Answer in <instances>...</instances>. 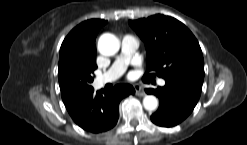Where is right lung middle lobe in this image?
I'll use <instances>...</instances> for the list:
<instances>
[{"label":"right lung middle lobe","instance_id":"obj_1","mask_svg":"<svg viewBox=\"0 0 247 145\" xmlns=\"http://www.w3.org/2000/svg\"><path fill=\"white\" fill-rule=\"evenodd\" d=\"M96 63H85L75 59H66L59 63L58 78L62 100L67 101L92 89L90 85Z\"/></svg>","mask_w":247,"mask_h":145}]
</instances>
